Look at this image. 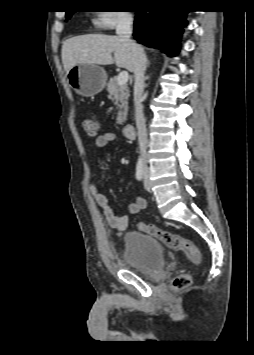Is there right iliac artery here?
I'll return each mask as SVG.
<instances>
[{
	"instance_id": "right-iliac-artery-1",
	"label": "right iliac artery",
	"mask_w": 254,
	"mask_h": 355,
	"mask_svg": "<svg viewBox=\"0 0 254 355\" xmlns=\"http://www.w3.org/2000/svg\"><path fill=\"white\" fill-rule=\"evenodd\" d=\"M136 178L137 180H142L143 178V160L139 159L136 166Z\"/></svg>"
}]
</instances>
